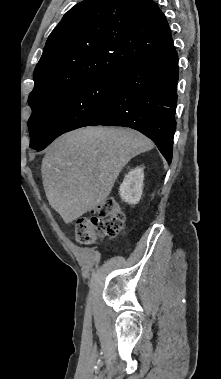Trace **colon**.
Listing matches in <instances>:
<instances>
[{
  "label": "colon",
  "instance_id": "colon-1",
  "mask_svg": "<svg viewBox=\"0 0 221 379\" xmlns=\"http://www.w3.org/2000/svg\"><path fill=\"white\" fill-rule=\"evenodd\" d=\"M124 225L125 215L120 205L107 200L99 204L91 216L77 220L75 238L82 245H90L99 238L117 235Z\"/></svg>",
  "mask_w": 221,
  "mask_h": 379
}]
</instances>
